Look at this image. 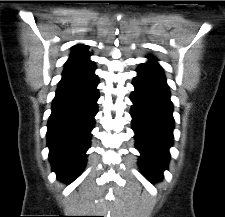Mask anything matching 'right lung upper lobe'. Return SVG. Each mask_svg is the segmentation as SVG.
I'll return each mask as SVG.
<instances>
[{"label": "right lung upper lobe", "instance_id": "obj_1", "mask_svg": "<svg viewBox=\"0 0 225 217\" xmlns=\"http://www.w3.org/2000/svg\"><path fill=\"white\" fill-rule=\"evenodd\" d=\"M91 53L87 46L75 45L72 53L65 63L62 79L59 84L85 81L96 77L94 74L95 65L89 59Z\"/></svg>", "mask_w": 225, "mask_h": 217}]
</instances>
